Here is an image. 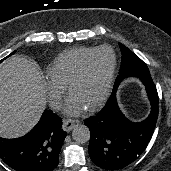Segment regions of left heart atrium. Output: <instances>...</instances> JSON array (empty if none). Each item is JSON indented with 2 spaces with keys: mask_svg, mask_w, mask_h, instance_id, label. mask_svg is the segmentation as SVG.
Segmentation results:
<instances>
[{
  "mask_svg": "<svg viewBox=\"0 0 171 171\" xmlns=\"http://www.w3.org/2000/svg\"><path fill=\"white\" fill-rule=\"evenodd\" d=\"M87 109L86 104L75 94L70 93L64 105V112L67 115L78 116Z\"/></svg>",
  "mask_w": 171,
  "mask_h": 171,
  "instance_id": "obj_1",
  "label": "left heart atrium"
}]
</instances>
